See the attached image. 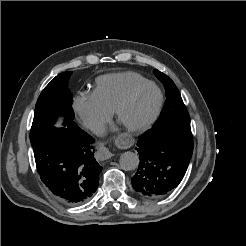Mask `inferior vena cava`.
Listing matches in <instances>:
<instances>
[{
    "mask_svg": "<svg viewBox=\"0 0 246 246\" xmlns=\"http://www.w3.org/2000/svg\"><path fill=\"white\" fill-rule=\"evenodd\" d=\"M87 128L96 134H101L105 130V125L102 121L91 120L87 123Z\"/></svg>",
    "mask_w": 246,
    "mask_h": 246,
    "instance_id": "1",
    "label": "inferior vena cava"
}]
</instances>
